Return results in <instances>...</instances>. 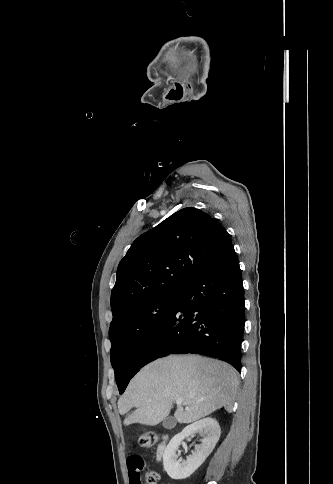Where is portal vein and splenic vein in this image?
I'll return each instance as SVG.
<instances>
[{
	"mask_svg": "<svg viewBox=\"0 0 333 484\" xmlns=\"http://www.w3.org/2000/svg\"><path fill=\"white\" fill-rule=\"evenodd\" d=\"M181 403H182V399H181V398L176 399V404H177V405H179V404H181Z\"/></svg>",
	"mask_w": 333,
	"mask_h": 484,
	"instance_id": "obj_1",
	"label": "portal vein and splenic vein"
}]
</instances>
